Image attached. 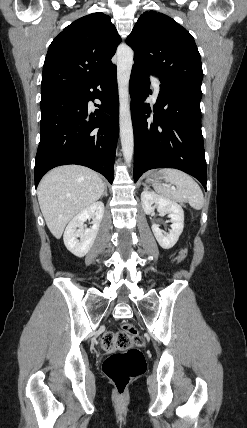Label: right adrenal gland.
<instances>
[{
  "mask_svg": "<svg viewBox=\"0 0 247 428\" xmlns=\"http://www.w3.org/2000/svg\"><path fill=\"white\" fill-rule=\"evenodd\" d=\"M103 196H108V194H107V187H106V186L104 187V192H103V194H102V197H103Z\"/></svg>",
  "mask_w": 247,
  "mask_h": 428,
  "instance_id": "obj_1",
  "label": "right adrenal gland"
}]
</instances>
